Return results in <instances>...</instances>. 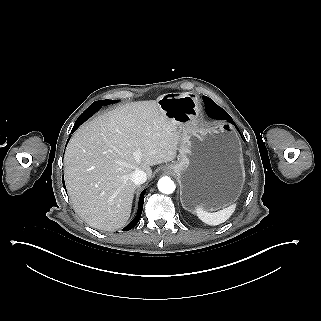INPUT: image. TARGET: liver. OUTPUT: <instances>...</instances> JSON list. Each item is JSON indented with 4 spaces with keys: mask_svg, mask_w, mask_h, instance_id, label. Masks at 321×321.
<instances>
[{
    "mask_svg": "<svg viewBox=\"0 0 321 321\" xmlns=\"http://www.w3.org/2000/svg\"><path fill=\"white\" fill-rule=\"evenodd\" d=\"M186 123L166 116L157 101L121 105L81 126L65 155V181L76 212L110 231L130 216L136 184L130 174L173 161Z\"/></svg>",
    "mask_w": 321,
    "mask_h": 321,
    "instance_id": "6515ba94",
    "label": "liver"
}]
</instances>
